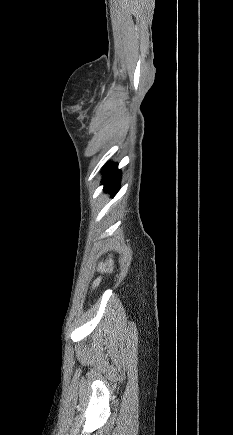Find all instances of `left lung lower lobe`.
<instances>
[{
	"label": "left lung lower lobe",
	"mask_w": 233,
	"mask_h": 435,
	"mask_svg": "<svg viewBox=\"0 0 233 435\" xmlns=\"http://www.w3.org/2000/svg\"><path fill=\"white\" fill-rule=\"evenodd\" d=\"M120 176L121 173L120 170L117 169V165L108 163L102 180L104 190L116 194L119 189Z\"/></svg>",
	"instance_id": "left-lung-lower-lobe-1"
}]
</instances>
